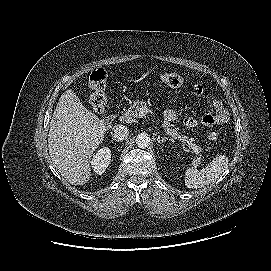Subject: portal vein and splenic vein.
Listing matches in <instances>:
<instances>
[{"instance_id":"18ae733b","label":"portal vein and splenic vein","mask_w":271,"mask_h":271,"mask_svg":"<svg viewBox=\"0 0 271 271\" xmlns=\"http://www.w3.org/2000/svg\"><path fill=\"white\" fill-rule=\"evenodd\" d=\"M147 113V107L143 106L139 109V116H143Z\"/></svg>"}]
</instances>
